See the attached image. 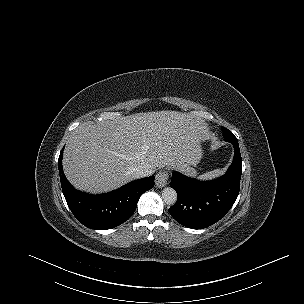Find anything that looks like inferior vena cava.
<instances>
[{
	"label": "inferior vena cava",
	"instance_id": "obj_1",
	"mask_svg": "<svg viewBox=\"0 0 304 304\" xmlns=\"http://www.w3.org/2000/svg\"><path fill=\"white\" fill-rule=\"evenodd\" d=\"M155 170L146 166L140 165L133 169V175L135 178L148 177L154 174Z\"/></svg>",
	"mask_w": 304,
	"mask_h": 304
}]
</instances>
